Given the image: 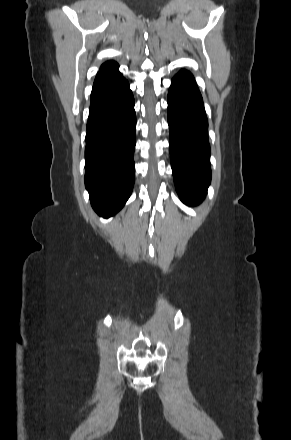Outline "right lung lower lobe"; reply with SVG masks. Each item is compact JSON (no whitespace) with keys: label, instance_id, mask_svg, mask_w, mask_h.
<instances>
[{"label":"right lung lower lobe","instance_id":"1","mask_svg":"<svg viewBox=\"0 0 291 440\" xmlns=\"http://www.w3.org/2000/svg\"><path fill=\"white\" fill-rule=\"evenodd\" d=\"M134 97L118 65L95 78L85 147V186L94 210L117 213L131 195L135 180Z\"/></svg>","mask_w":291,"mask_h":440}]
</instances>
